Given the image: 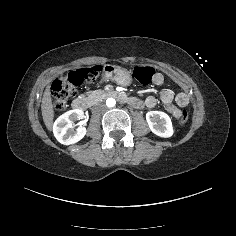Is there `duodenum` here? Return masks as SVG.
<instances>
[{
    "label": "duodenum",
    "mask_w": 236,
    "mask_h": 236,
    "mask_svg": "<svg viewBox=\"0 0 236 236\" xmlns=\"http://www.w3.org/2000/svg\"><path fill=\"white\" fill-rule=\"evenodd\" d=\"M106 95L108 97H114V98L118 99L119 101L126 103L132 107H141L142 106V102L139 99H137L135 97L127 96L126 94L115 91V90H108L106 92ZM71 106L76 111H84L87 107V102L84 98L79 97V98H75L72 101Z\"/></svg>",
    "instance_id": "obj_1"
}]
</instances>
